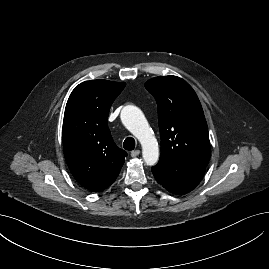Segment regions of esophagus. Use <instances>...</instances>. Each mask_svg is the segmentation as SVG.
<instances>
[{
	"instance_id": "34e87169",
	"label": "esophagus",
	"mask_w": 269,
	"mask_h": 269,
	"mask_svg": "<svg viewBox=\"0 0 269 269\" xmlns=\"http://www.w3.org/2000/svg\"><path fill=\"white\" fill-rule=\"evenodd\" d=\"M140 154V150H134L131 152L132 157H137Z\"/></svg>"
}]
</instances>
